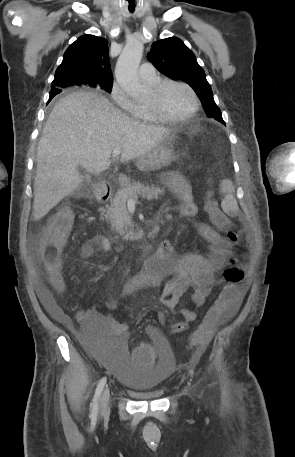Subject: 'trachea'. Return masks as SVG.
<instances>
[{
  "label": "trachea",
  "instance_id": "1",
  "mask_svg": "<svg viewBox=\"0 0 295 457\" xmlns=\"http://www.w3.org/2000/svg\"><path fill=\"white\" fill-rule=\"evenodd\" d=\"M134 9H135V5H130L129 10H130L131 12H133Z\"/></svg>",
  "mask_w": 295,
  "mask_h": 457
}]
</instances>
